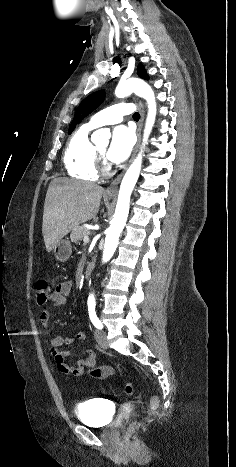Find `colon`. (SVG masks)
Returning a JSON list of instances; mask_svg holds the SVG:
<instances>
[{"label": "colon", "mask_w": 236, "mask_h": 467, "mask_svg": "<svg viewBox=\"0 0 236 467\" xmlns=\"http://www.w3.org/2000/svg\"><path fill=\"white\" fill-rule=\"evenodd\" d=\"M51 287L48 281L38 280L35 284V296L38 305H45L51 299ZM134 392V386L131 383L125 385L122 390L123 395H131ZM158 400L153 397L150 401V408H156Z\"/></svg>", "instance_id": "colon-1"}]
</instances>
